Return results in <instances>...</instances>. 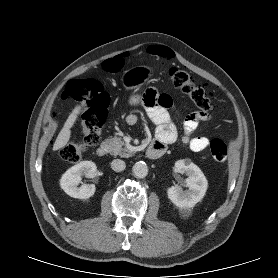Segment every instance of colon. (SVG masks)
Wrapping results in <instances>:
<instances>
[{
  "label": "colon",
  "mask_w": 278,
  "mask_h": 278,
  "mask_svg": "<svg viewBox=\"0 0 278 278\" xmlns=\"http://www.w3.org/2000/svg\"><path fill=\"white\" fill-rule=\"evenodd\" d=\"M125 57H115L105 61L103 69L109 73L119 72L125 65ZM169 82L188 95L202 111H209L212 101L209 90L194 80L186 71L171 68L168 73ZM63 100L71 99L85 105L82 116V139L74 137L60 150L63 160L78 162L88 147L96 145L100 140V132L107 117L108 95L102 84L93 78L74 79L65 87L61 95ZM209 148L213 159L225 163L228 156L226 144L218 138L212 139Z\"/></svg>",
  "instance_id": "obj_1"
}]
</instances>
